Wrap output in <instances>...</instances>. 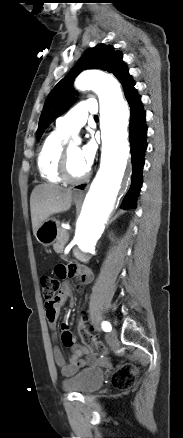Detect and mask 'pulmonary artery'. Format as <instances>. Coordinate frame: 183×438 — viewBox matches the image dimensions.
<instances>
[{
	"label": "pulmonary artery",
	"mask_w": 183,
	"mask_h": 438,
	"mask_svg": "<svg viewBox=\"0 0 183 438\" xmlns=\"http://www.w3.org/2000/svg\"><path fill=\"white\" fill-rule=\"evenodd\" d=\"M98 112L97 101L94 99L83 101L56 121V127L64 133H75L85 125L89 115Z\"/></svg>",
	"instance_id": "1"
}]
</instances>
